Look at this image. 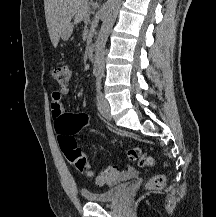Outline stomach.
Listing matches in <instances>:
<instances>
[{
	"instance_id": "0dacf381",
	"label": "stomach",
	"mask_w": 216,
	"mask_h": 217,
	"mask_svg": "<svg viewBox=\"0 0 216 217\" xmlns=\"http://www.w3.org/2000/svg\"><path fill=\"white\" fill-rule=\"evenodd\" d=\"M73 24L72 23H70L66 28H65V30L63 31V33H62V35H61V37H62V39L63 40H67L70 36H71V34H72V32H73Z\"/></svg>"
}]
</instances>
